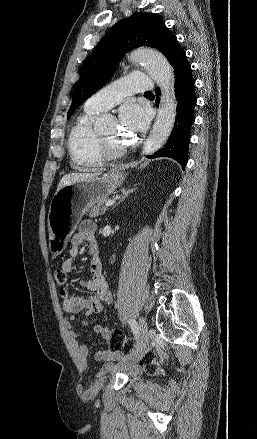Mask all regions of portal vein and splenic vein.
I'll return each instance as SVG.
<instances>
[{"label": "portal vein and splenic vein", "mask_w": 257, "mask_h": 439, "mask_svg": "<svg viewBox=\"0 0 257 439\" xmlns=\"http://www.w3.org/2000/svg\"><path fill=\"white\" fill-rule=\"evenodd\" d=\"M115 203V200H108L106 203H105V206H112L113 204Z\"/></svg>", "instance_id": "portal-vein-and-splenic-vein-1"}]
</instances>
